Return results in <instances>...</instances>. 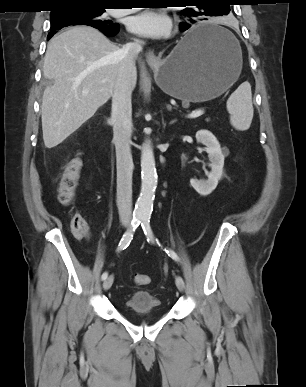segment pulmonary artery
Returning <instances> with one entry per match:
<instances>
[{
	"instance_id": "e3ab8cb5",
	"label": "pulmonary artery",
	"mask_w": 306,
	"mask_h": 387,
	"mask_svg": "<svg viewBox=\"0 0 306 387\" xmlns=\"http://www.w3.org/2000/svg\"><path fill=\"white\" fill-rule=\"evenodd\" d=\"M133 9H117L112 12L113 15H126L133 12Z\"/></svg>"
}]
</instances>
